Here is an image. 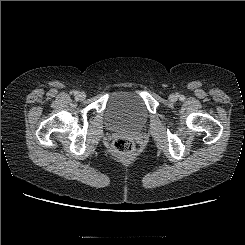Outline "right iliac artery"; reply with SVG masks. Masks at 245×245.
<instances>
[{
  "label": "right iliac artery",
  "instance_id": "obj_1",
  "mask_svg": "<svg viewBox=\"0 0 245 245\" xmlns=\"http://www.w3.org/2000/svg\"><path fill=\"white\" fill-rule=\"evenodd\" d=\"M74 95H78V91H74Z\"/></svg>",
  "mask_w": 245,
  "mask_h": 245
}]
</instances>
